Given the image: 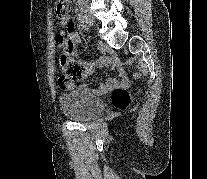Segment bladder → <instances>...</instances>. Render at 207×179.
<instances>
[{"label":"bladder","instance_id":"31cf9c89","mask_svg":"<svg viewBox=\"0 0 207 179\" xmlns=\"http://www.w3.org/2000/svg\"><path fill=\"white\" fill-rule=\"evenodd\" d=\"M62 113L76 121L90 120L104 110L102 100L93 94L88 84H81L59 96Z\"/></svg>","mask_w":207,"mask_h":179}]
</instances>
